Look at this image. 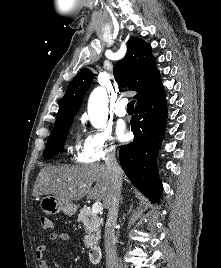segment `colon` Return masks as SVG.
<instances>
[{
	"instance_id": "1",
	"label": "colon",
	"mask_w": 221,
	"mask_h": 268,
	"mask_svg": "<svg viewBox=\"0 0 221 268\" xmlns=\"http://www.w3.org/2000/svg\"><path fill=\"white\" fill-rule=\"evenodd\" d=\"M40 220H41V226L43 227V229H45V230L52 229L53 222H52V220L49 217L42 216Z\"/></svg>"
}]
</instances>
